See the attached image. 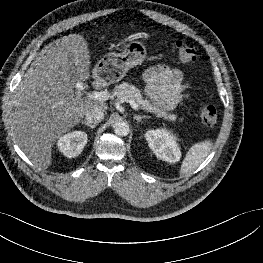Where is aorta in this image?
<instances>
[{
	"instance_id": "762f6f07",
	"label": "aorta",
	"mask_w": 263,
	"mask_h": 263,
	"mask_svg": "<svg viewBox=\"0 0 263 263\" xmlns=\"http://www.w3.org/2000/svg\"><path fill=\"white\" fill-rule=\"evenodd\" d=\"M114 132L118 136H126L129 133V125L127 122L118 120L113 125Z\"/></svg>"
}]
</instances>
